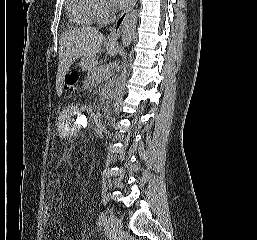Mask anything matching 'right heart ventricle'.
<instances>
[{"label":"right heart ventricle","instance_id":"obj_1","mask_svg":"<svg viewBox=\"0 0 257 240\" xmlns=\"http://www.w3.org/2000/svg\"><path fill=\"white\" fill-rule=\"evenodd\" d=\"M98 0H67L69 20L78 26H91L98 22L96 9Z\"/></svg>","mask_w":257,"mask_h":240}]
</instances>
